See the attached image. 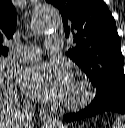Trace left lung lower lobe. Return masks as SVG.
<instances>
[{"mask_svg": "<svg viewBox=\"0 0 125 128\" xmlns=\"http://www.w3.org/2000/svg\"><path fill=\"white\" fill-rule=\"evenodd\" d=\"M118 112L125 114V85L118 86L98 102H92L85 109L77 113L64 116L66 122H75L103 112Z\"/></svg>", "mask_w": 125, "mask_h": 128, "instance_id": "0a47b994", "label": "left lung lower lobe"}]
</instances>
